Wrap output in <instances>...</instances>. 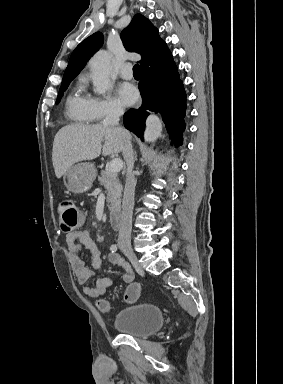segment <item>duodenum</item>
<instances>
[{
    "label": "duodenum",
    "mask_w": 283,
    "mask_h": 384,
    "mask_svg": "<svg viewBox=\"0 0 283 384\" xmlns=\"http://www.w3.org/2000/svg\"><path fill=\"white\" fill-rule=\"evenodd\" d=\"M110 223L115 229H119L122 225V213L120 211L113 212L109 215Z\"/></svg>",
    "instance_id": "410a0bca"
}]
</instances>
